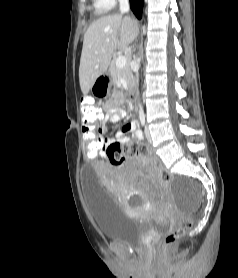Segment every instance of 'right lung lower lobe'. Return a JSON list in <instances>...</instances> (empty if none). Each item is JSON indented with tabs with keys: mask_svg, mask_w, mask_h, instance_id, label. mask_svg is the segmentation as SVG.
Masks as SVG:
<instances>
[{
	"mask_svg": "<svg viewBox=\"0 0 238 278\" xmlns=\"http://www.w3.org/2000/svg\"><path fill=\"white\" fill-rule=\"evenodd\" d=\"M143 1L144 0H130V7L138 19L142 17Z\"/></svg>",
	"mask_w": 238,
	"mask_h": 278,
	"instance_id": "obj_1",
	"label": "right lung lower lobe"
}]
</instances>
